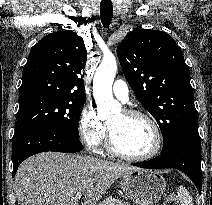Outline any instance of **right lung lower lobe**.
Masks as SVG:
<instances>
[{
    "label": "right lung lower lobe",
    "mask_w": 212,
    "mask_h": 205,
    "mask_svg": "<svg viewBox=\"0 0 212 205\" xmlns=\"http://www.w3.org/2000/svg\"><path fill=\"white\" fill-rule=\"evenodd\" d=\"M83 148L79 140H76L61 132L51 129H31L16 134L12 143L13 173L26 158L46 151H58L75 153Z\"/></svg>",
    "instance_id": "98d812e1"
}]
</instances>
